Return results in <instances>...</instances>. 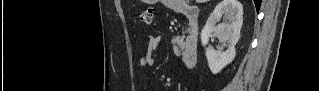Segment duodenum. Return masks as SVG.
<instances>
[{"label":"duodenum","mask_w":319,"mask_h":91,"mask_svg":"<svg viewBox=\"0 0 319 91\" xmlns=\"http://www.w3.org/2000/svg\"><path fill=\"white\" fill-rule=\"evenodd\" d=\"M183 13L189 22V32L182 52V61L187 68H191L196 64L198 58L199 10L194 6L187 5Z\"/></svg>","instance_id":"1"}]
</instances>
